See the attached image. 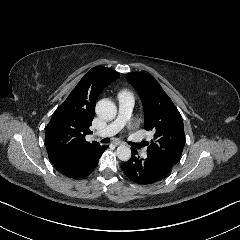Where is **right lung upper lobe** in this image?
<instances>
[{"mask_svg":"<svg viewBox=\"0 0 240 240\" xmlns=\"http://www.w3.org/2000/svg\"><path fill=\"white\" fill-rule=\"evenodd\" d=\"M120 74L106 67L90 69L54 112L47 125L45 141L53 164L73 162L97 149V142H87L85 135L95 116V104L103 88Z\"/></svg>","mask_w":240,"mask_h":240,"instance_id":"obj_1","label":"right lung upper lobe"}]
</instances>
